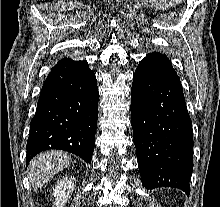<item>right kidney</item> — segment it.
Segmentation results:
<instances>
[{
  "label": "right kidney",
  "instance_id": "ca27d5eb",
  "mask_svg": "<svg viewBox=\"0 0 220 207\" xmlns=\"http://www.w3.org/2000/svg\"><path fill=\"white\" fill-rule=\"evenodd\" d=\"M76 179L68 176L63 177V179L57 183L53 189V196L55 197L54 205L56 207H65L68 198H70L71 192L74 189V183Z\"/></svg>",
  "mask_w": 220,
  "mask_h": 207
}]
</instances>
